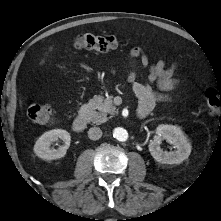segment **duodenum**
<instances>
[{
    "label": "duodenum",
    "mask_w": 221,
    "mask_h": 221,
    "mask_svg": "<svg viewBox=\"0 0 221 221\" xmlns=\"http://www.w3.org/2000/svg\"><path fill=\"white\" fill-rule=\"evenodd\" d=\"M139 118H143L145 115L139 113ZM89 117V107L87 105H83L79 111L78 116L74 120L72 124V128L76 133H81L85 130L87 126V120Z\"/></svg>",
    "instance_id": "410a0bca"
}]
</instances>
